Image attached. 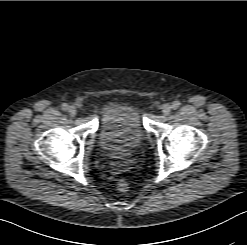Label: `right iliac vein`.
<instances>
[{
	"instance_id": "obj_1",
	"label": "right iliac vein",
	"mask_w": 247,
	"mask_h": 245,
	"mask_svg": "<svg viewBox=\"0 0 247 245\" xmlns=\"http://www.w3.org/2000/svg\"><path fill=\"white\" fill-rule=\"evenodd\" d=\"M68 112H69V114H70L71 116L74 117V116L77 114V109H76L75 106H70V107L68 108Z\"/></svg>"
}]
</instances>
